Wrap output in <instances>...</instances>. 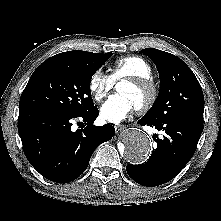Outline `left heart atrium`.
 I'll return each mask as SVG.
<instances>
[{
	"label": "left heart atrium",
	"instance_id": "left-heart-atrium-1",
	"mask_svg": "<svg viewBox=\"0 0 221 221\" xmlns=\"http://www.w3.org/2000/svg\"><path fill=\"white\" fill-rule=\"evenodd\" d=\"M136 109L125 94L111 95L101 106L100 116L110 123H119Z\"/></svg>",
	"mask_w": 221,
	"mask_h": 221
}]
</instances>
